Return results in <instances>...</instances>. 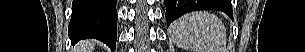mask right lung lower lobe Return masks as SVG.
<instances>
[{"instance_id": "right-lung-lower-lobe-1", "label": "right lung lower lobe", "mask_w": 305, "mask_h": 52, "mask_svg": "<svg viewBox=\"0 0 305 52\" xmlns=\"http://www.w3.org/2000/svg\"><path fill=\"white\" fill-rule=\"evenodd\" d=\"M117 0H73L69 37L73 43L94 38L112 51L117 39Z\"/></svg>"}]
</instances>
